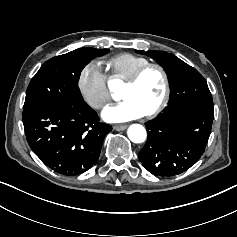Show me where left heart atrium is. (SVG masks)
Listing matches in <instances>:
<instances>
[{
    "instance_id": "1",
    "label": "left heart atrium",
    "mask_w": 237,
    "mask_h": 237,
    "mask_svg": "<svg viewBox=\"0 0 237 237\" xmlns=\"http://www.w3.org/2000/svg\"><path fill=\"white\" fill-rule=\"evenodd\" d=\"M144 113L131 101L123 100L119 104L107 106L102 118L108 123H121L142 117Z\"/></svg>"
}]
</instances>
